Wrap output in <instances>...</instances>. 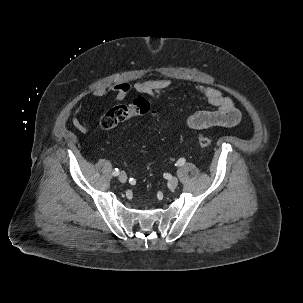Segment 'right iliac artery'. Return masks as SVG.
Segmentation results:
<instances>
[{"label":"right iliac artery","instance_id":"1","mask_svg":"<svg viewBox=\"0 0 303 303\" xmlns=\"http://www.w3.org/2000/svg\"><path fill=\"white\" fill-rule=\"evenodd\" d=\"M112 175L113 176H118L119 175V169L118 168H115L112 172Z\"/></svg>","mask_w":303,"mask_h":303}]
</instances>
